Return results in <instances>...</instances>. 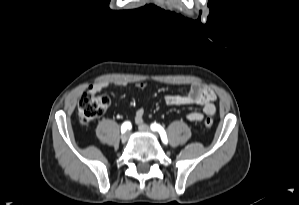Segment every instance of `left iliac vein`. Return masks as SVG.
<instances>
[{"mask_svg":"<svg viewBox=\"0 0 299 205\" xmlns=\"http://www.w3.org/2000/svg\"><path fill=\"white\" fill-rule=\"evenodd\" d=\"M138 129L142 132H150V133L152 132L150 127L146 124H140Z\"/></svg>","mask_w":299,"mask_h":205,"instance_id":"left-iliac-vein-1","label":"left iliac vein"}]
</instances>
